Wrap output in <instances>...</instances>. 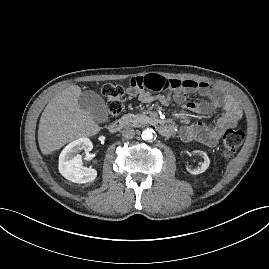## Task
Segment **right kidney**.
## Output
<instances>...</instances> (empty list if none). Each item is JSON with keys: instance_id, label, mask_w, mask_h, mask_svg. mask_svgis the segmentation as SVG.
I'll use <instances>...</instances> for the list:
<instances>
[{"instance_id": "right-kidney-1", "label": "right kidney", "mask_w": 269, "mask_h": 269, "mask_svg": "<svg viewBox=\"0 0 269 269\" xmlns=\"http://www.w3.org/2000/svg\"><path fill=\"white\" fill-rule=\"evenodd\" d=\"M93 144L86 137L79 138L68 144L59 156V172L66 179L75 183H87L95 180L97 171L91 167H84L80 151H91Z\"/></svg>"}]
</instances>
